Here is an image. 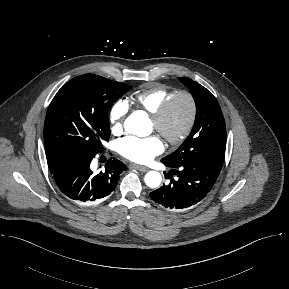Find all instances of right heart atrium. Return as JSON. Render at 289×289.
I'll return each mask as SVG.
<instances>
[{
  "mask_svg": "<svg viewBox=\"0 0 289 289\" xmlns=\"http://www.w3.org/2000/svg\"><path fill=\"white\" fill-rule=\"evenodd\" d=\"M129 103L125 99H118L109 110V122L114 134H120L123 131L124 119L129 111Z\"/></svg>",
  "mask_w": 289,
  "mask_h": 289,
  "instance_id": "obj_1",
  "label": "right heart atrium"
}]
</instances>
